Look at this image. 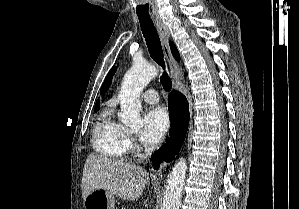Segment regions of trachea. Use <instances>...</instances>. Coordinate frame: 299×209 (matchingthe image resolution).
I'll list each match as a JSON object with an SVG mask.
<instances>
[{
  "label": "trachea",
  "instance_id": "1",
  "mask_svg": "<svg viewBox=\"0 0 299 209\" xmlns=\"http://www.w3.org/2000/svg\"><path fill=\"white\" fill-rule=\"evenodd\" d=\"M138 19L151 57L164 70L160 77L161 84L165 91H170L172 88V82L165 71L162 46L154 24L150 17L138 16Z\"/></svg>",
  "mask_w": 299,
  "mask_h": 209
}]
</instances>
